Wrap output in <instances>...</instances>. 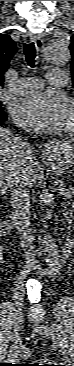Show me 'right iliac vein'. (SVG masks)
<instances>
[{"label":"right iliac vein","instance_id":"obj_1","mask_svg":"<svg viewBox=\"0 0 74 366\" xmlns=\"http://www.w3.org/2000/svg\"><path fill=\"white\" fill-rule=\"evenodd\" d=\"M21 330H22V316L19 314H15L13 329H12L13 338L15 340L14 345H12L13 349L16 348V344L18 343V340H19V337L21 334Z\"/></svg>","mask_w":74,"mask_h":366}]
</instances>
